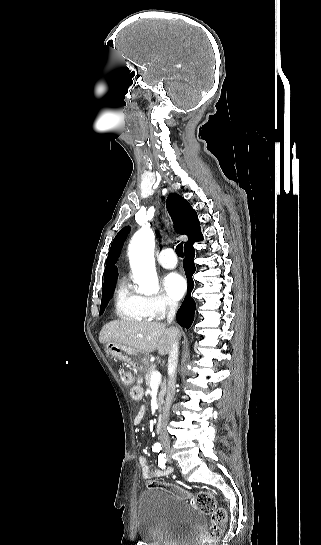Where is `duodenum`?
I'll list each match as a JSON object with an SVG mask.
<instances>
[{"label": "duodenum", "mask_w": 321, "mask_h": 545, "mask_svg": "<svg viewBox=\"0 0 321 545\" xmlns=\"http://www.w3.org/2000/svg\"><path fill=\"white\" fill-rule=\"evenodd\" d=\"M162 424H163V415H159L157 420H156V431H157V433H159L161 431Z\"/></svg>", "instance_id": "1"}]
</instances>
